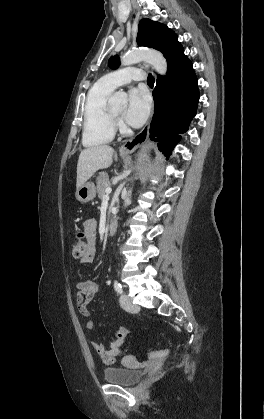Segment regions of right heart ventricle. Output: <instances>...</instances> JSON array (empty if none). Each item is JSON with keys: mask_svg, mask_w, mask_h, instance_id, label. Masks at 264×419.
<instances>
[{"mask_svg": "<svg viewBox=\"0 0 264 419\" xmlns=\"http://www.w3.org/2000/svg\"><path fill=\"white\" fill-rule=\"evenodd\" d=\"M113 89L102 81L89 90L84 109L82 142L85 147H95L112 141L116 122L108 106V98Z\"/></svg>", "mask_w": 264, "mask_h": 419, "instance_id": "e07e8e85", "label": "right heart ventricle"}]
</instances>
